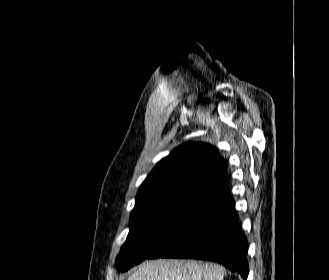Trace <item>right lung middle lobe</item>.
Returning <instances> with one entry per match:
<instances>
[{
    "instance_id": "obj_1",
    "label": "right lung middle lobe",
    "mask_w": 329,
    "mask_h": 280,
    "mask_svg": "<svg viewBox=\"0 0 329 280\" xmlns=\"http://www.w3.org/2000/svg\"><path fill=\"white\" fill-rule=\"evenodd\" d=\"M207 200L179 196L154 201L131 214V228L116 258L126 271L148 259L160 246L198 213Z\"/></svg>"
}]
</instances>
